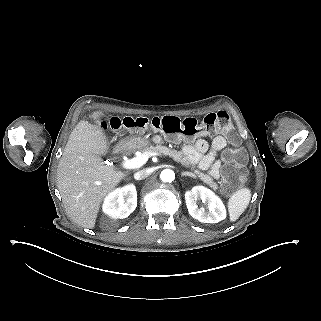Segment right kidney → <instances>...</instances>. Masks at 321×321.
Masks as SVG:
<instances>
[{
	"mask_svg": "<svg viewBox=\"0 0 321 321\" xmlns=\"http://www.w3.org/2000/svg\"><path fill=\"white\" fill-rule=\"evenodd\" d=\"M137 207V191L134 184L117 188L106 196L103 212L112 219L128 217Z\"/></svg>",
	"mask_w": 321,
	"mask_h": 321,
	"instance_id": "right-kidney-1",
	"label": "right kidney"
}]
</instances>
